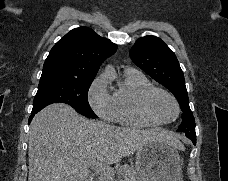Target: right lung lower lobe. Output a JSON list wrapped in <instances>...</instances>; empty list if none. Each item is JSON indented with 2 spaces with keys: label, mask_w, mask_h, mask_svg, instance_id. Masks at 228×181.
<instances>
[{
  "label": "right lung lower lobe",
  "mask_w": 228,
  "mask_h": 181,
  "mask_svg": "<svg viewBox=\"0 0 228 181\" xmlns=\"http://www.w3.org/2000/svg\"><path fill=\"white\" fill-rule=\"evenodd\" d=\"M37 112H39V111H34V110H32L31 116H30V118H29V122L32 120V118L34 117V115H35Z\"/></svg>",
  "instance_id": "right-lung-lower-lobe-1"
}]
</instances>
